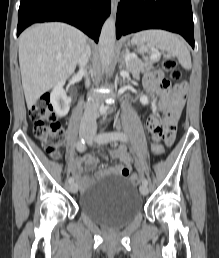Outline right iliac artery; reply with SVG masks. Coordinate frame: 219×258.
<instances>
[{
  "mask_svg": "<svg viewBox=\"0 0 219 258\" xmlns=\"http://www.w3.org/2000/svg\"><path fill=\"white\" fill-rule=\"evenodd\" d=\"M76 148H77V150H78L79 152H84V151H85L86 145H85L84 139H81V140H79V141L77 142ZM68 182H69L70 184L73 183V182H74L73 177H70V178L68 179Z\"/></svg>",
  "mask_w": 219,
  "mask_h": 258,
  "instance_id": "right-iliac-artery-1",
  "label": "right iliac artery"
}]
</instances>
